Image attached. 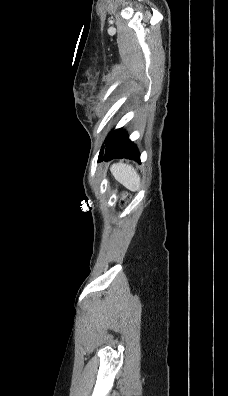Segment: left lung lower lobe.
<instances>
[{
  "label": "left lung lower lobe",
  "mask_w": 228,
  "mask_h": 396,
  "mask_svg": "<svg viewBox=\"0 0 228 396\" xmlns=\"http://www.w3.org/2000/svg\"><path fill=\"white\" fill-rule=\"evenodd\" d=\"M112 160L114 158H127L135 161H140V154L137 147L129 140L127 133L122 128L112 130L99 153L98 161Z\"/></svg>",
  "instance_id": "0a47b994"
}]
</instances>
